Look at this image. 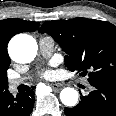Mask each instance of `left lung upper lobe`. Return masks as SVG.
Listing matches in <instances>:
<instances>
[{
  "label": "left lung upper lobe",
  "mask_w": 116,
  "mask_h": 116,
  "mask_svg": "<svg viewBox=\"0 0 116 116\" xmlns=\"http://www.w3.org/2000/svg\"><path fill=\"white\" fill-rule=\"evenodd\" d=\"M48 33L67 53L70 71L88 73L90 84L116 82V26L109 22L74 18L46 21L39 29Z\"/></svg>",
  "instance_id": "obj_1"
}]
</instances>
